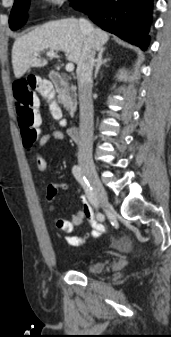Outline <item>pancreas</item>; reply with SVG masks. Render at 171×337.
<instances>
[{
	"mask_svg": "<svg viewBox=\"0 0 171 337\" xmlns=\"http://www.w3.org/2000/svg\"><path fill=\"white\" fill-rule=\"evenodd\" d=\"M58 100L70 112V114H73L74 112L73 101L68 91L60 92Z\"/></svg>",
	"mask_w": 171,
	"mask_h": 337,
	"instance_id": "cf45deb5",
	"label": "pancreas"
}]
</instances>
